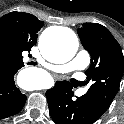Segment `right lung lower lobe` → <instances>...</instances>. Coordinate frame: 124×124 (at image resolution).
Here are the masks:
<instances>
[{
    "label": "right lung lower lobe",
    "instance_id": "1",
    "mask_svg": "<svg viewBox=\"0 0 124 124\" xmlns=\"http://www.w3.org/2000/svg\"><path fill=\"white\" fill-rule=\"evenodd\" d=\"M18 69H0V119L17 114L23 108L26 95L15 86L14 75Z\"/></svg>",
    "mask_w": 124,
    "mask_h": 124
}]
</instances>
